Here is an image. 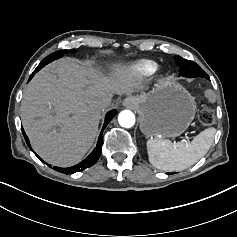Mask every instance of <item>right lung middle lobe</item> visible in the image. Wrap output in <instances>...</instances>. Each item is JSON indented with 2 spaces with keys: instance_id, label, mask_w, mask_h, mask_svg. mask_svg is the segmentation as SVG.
I'll use <instances>...</instances> for the list:
<instances>
[{
  "instance_id": "right-lung-middle-lobe-1",
  "label": "right lung middle lobe",
  "mask_w": 237,
  "mask_h": 237,
  "mask_svg": "<svg viewBox=\"0 0 237 237\" xmlns=\"http://www.w3.org/2000/svg\"><path fill=\"white\" fill-rule=\"evenodd\" d=\"M65 52H67V50H65ZM71 53H74L75 50H70ZM64 55V52L62 50H58L50 55H48L47 57H45L41 63L37 66V68L35 69V71L33 73L38 72L41 68H43L45 65H47L48 63L62 57Z\"/></svg>"
}]
</instances>
